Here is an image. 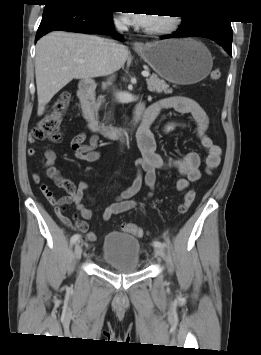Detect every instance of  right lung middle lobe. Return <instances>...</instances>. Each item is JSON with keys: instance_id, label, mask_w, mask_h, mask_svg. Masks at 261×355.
I'll use <instances>...</instances> for the list:
<instances>
[{"instance_id": "obj_1", "label": "right lung middle lobe", "mask_w": 261, "mask_h": 355, "mask_svg": "<svg viewBox=\"0 0 261 355\" xmlns=\"http://www.w3.org/2000/svg\"><path fill=\"white\" fill-rule=\"evenodd\" d=\"M82 1L94 6H101L100 1L102 0H82Z\"/></svg>"}]
</instances>
